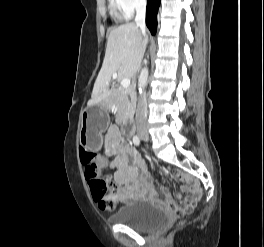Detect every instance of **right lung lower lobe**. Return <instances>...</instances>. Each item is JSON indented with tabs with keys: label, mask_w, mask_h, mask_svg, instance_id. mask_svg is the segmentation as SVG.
<instances>
[{
	"label": "right lung lower lobe",
	"mask_w": 264,
	"mask_h": 247,
	"mask_svg": "<svg viewBox=\"0 0 264 247\" xmlns=\"http://www.w3.org/2000/svg\"><path fill=\"white\" fill-rule=\"evenodd\" d=\"M160 5V0H148L146 10V25L152 35L156 33L157 29V13Z\"/></svg>",
	"instance_id": "1"
}]
</instances>
